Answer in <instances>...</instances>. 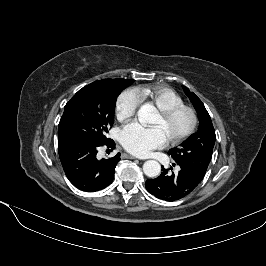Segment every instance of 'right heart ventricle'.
Masks as SVG:
<instances>
[{
  "label": "right heart ventricle",
  "instance_id": "1",
  "mask_svg": "<svg viewBox=\"0 0 266 266\" xmlns=\"http://www.w3.org/2000/svg\"><path fill=\"white\" fill-rule=\"evenodd\" d=\"M139 93L142 98L147 99L158 110L184 104L183 98L175 90L168 87L142 88Z\"/></svg>",
  "mask_w": 266,
  "mask_h": 266
}]
</instances>
